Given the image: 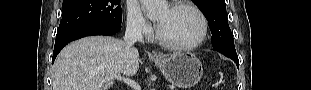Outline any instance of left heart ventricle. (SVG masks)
I'll use <instances>...</instances> for the list:
<instances>
[{
    "label": "left heart ventricle",
    "mask_w": 311,
    "mask_h": 90,
    "mask_svg": "<svg viewBox=\"0 0 311 90\" xmlns=\"http://www.w3.org/2000/svg\"><path fill=\"white\" fill-rule=\"evenodd\" d=\"M160 36L174 44H188L195 41L201 32L198 16L189 9L160 11L156 17Z\"/></svg>",
    "instance_id": "left-heart-ventricle-1"
}]
</instances>
